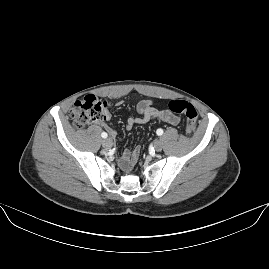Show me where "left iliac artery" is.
Listing matches in <instances>:
<instances>
[{"label":"left iliac artery","mask_w":269,"mask_h":269,"mask_svg":"<svg viewBox=\"0 0 269 269\" xmlns=\"http://www.w3.org/2000/svg\"><path fill=\"white\" fill-rule=\"evenodd\" d=\"M157 135L161 136L163 134V130L161 128L157 129Z\"/></svg>","instance_id":"obj_1"}]
</instances>
